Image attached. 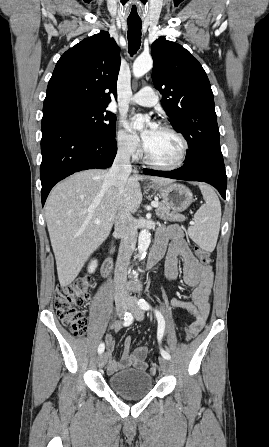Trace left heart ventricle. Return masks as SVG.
Segmentation results:
<instances>
[{
	"label": "left heart ventricle",
	"instance_id": "b2bd125f",
	"mask_svg": "<svg viewBox=\"0 0 269 447\" xmlns=\"http://www.w3.org/2000/svg\"><path fill=\"white\" fill-rule=\"evenodd\" d=\"M144 140L154 161L170 165L178 160L182 141L174 133L161 127H151L144 132Z\"/></svg>",
	"mask_w": 269,
	"mask_h": 447
}]
</instances>
